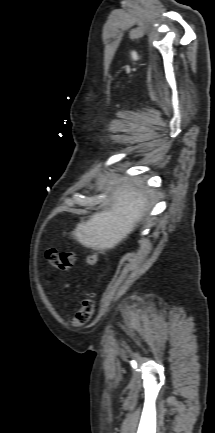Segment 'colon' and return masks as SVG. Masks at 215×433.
Here are the masks:
<instances>
[{
	"label": "colon",
	"instance_id": "obj_1",
	"mask_svg": "<svg viewBox=\"0 0 215 433\" xmlns=\"http://www.w3.org/2000/svg\"><path fill=\"white\" fill-rule=\"evenodd\" d=\"M45 255L48 263L61 271L70 270L76 261L74 252L59 251L55 248H48ZM96 258V254L90 255L87 260L88 264H93ZM95 304V293L92 291L87 292L82 298L80 308L75 314L72 324L77 327L87 324L94 314Z\"/></svg>",
	"mask_w": 215,
	"mask_h": 433
}]
</instances>
